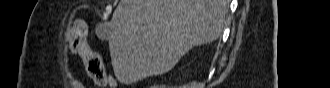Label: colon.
<instances>
[{
	"mask_svg": "<svg viewBox=\"0 0 330 88\" xmlns=\"http://www.w3.org/2000/svg\"><path fill=\"white\" fill-rule=\"evenodd\" d=\"M65 37L71 51L82 55L85 71L95 83L104 86H116L114 79L107 72L100 54L87 46L82 27L79 23L67 28Z\"/></svg>",
	"mask_w": 330,
	"mask_h": 88,
	"instance_id": "1",
	"label": "colon"
}]
</instances>
